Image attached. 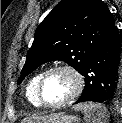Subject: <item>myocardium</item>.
<instances>
[{
	"label": "myocardium",
	"mask_w": 122,
	"mask_h": 123,
	"mask_svg": "<svg viewBox=\"0 0 122 123\" xmlns=\"http://www.w3.org/2000/svg\"><path fill=\"white\" fill-rule=\"evenodd\" d=\"M56 71H65L69 73L74 80V88L71 94L64 100L57 103H48L43 98L42 88L47 76ZM83 88H84V77L78 69L68 64L56 65L54 67L47 69L42 73L37 84V98L42 106H45L47 108H60L74 101L81 94Z\"/></svg>",
	"instance_id": "myocardium-1"
}]
</instances>
